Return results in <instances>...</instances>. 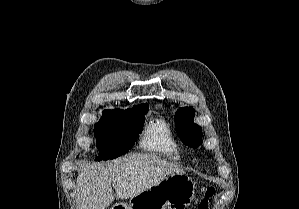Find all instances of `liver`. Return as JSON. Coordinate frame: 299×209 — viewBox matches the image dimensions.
<instances>
[{
	"label": "liver",
	"instance_id": "obj_1",
	"mask_svg": "<svg viewBox=\"0 0 299 209\" xmlns=\"http://www.w3.org/2000/svg\"><path fill=\"white\" fill-rule=\"evenodd\" d=\"M173 173L184 170L150 154L88 165L77 177L78 209H106L115 198L112 186L117 197L132 198Z\"/></svg>",
	"mask_w": 299,
	"mask_h": 209
}]
</instances>
